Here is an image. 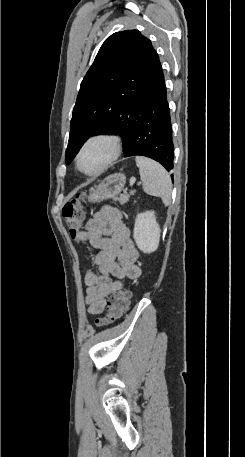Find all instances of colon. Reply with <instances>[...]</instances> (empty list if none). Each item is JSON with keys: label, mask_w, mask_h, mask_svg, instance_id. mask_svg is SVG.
Returning <instances> with one entry per match:
<instances>
[{"label": "colon", "mask_w": 245, "mask_h": 457, "mask_svg": "<svg viewBox=\"0 0 245 457\" xmlns=\"http://www.w3.org/2000/svg\"><path fill=\"white\" fill-rule=\"evenodd\" d=\"M62 216L72 237H76L83 218L82 204L80 199L65 203L62 208ZM131 293L127 289L117 291L110 299L105 315L96 320L97 325H108L122 317L126 311Z\"/></svg>", "instance_id": "5ec220e1"}]
</instances>
